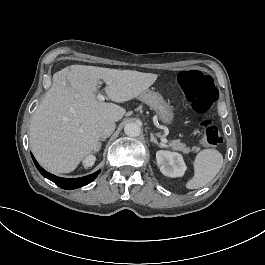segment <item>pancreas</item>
Returning <instances> with one entry per match:
<instances>
[{
	"label": "pancreas",
	"instance_id": "cf45deb5",
	"mask_svg": "<svg viewBox=\"0 0 265 265\" xmlns=\"http://www.w3.org/2000/svg\"><path fill=\"white\" fill-rule=\"evenodd\" d=\"M169 146L174 150L182 152H197L200 150V147L197 145H193L190 147L183 142H179L178 140H171Z\"/></svg>",
	"mask_w": 265,
	"mask_h": 265
}]
</instances>
